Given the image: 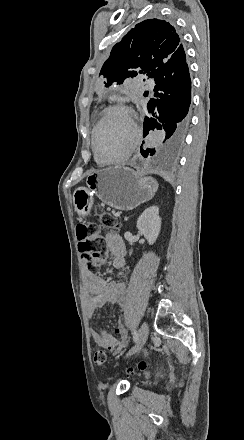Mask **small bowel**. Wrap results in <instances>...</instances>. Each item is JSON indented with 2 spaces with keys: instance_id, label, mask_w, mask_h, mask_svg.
<instances>
[{
  "instance_id": "1",
  "label": "small bowel",
  "mask_w": 244,
  "mask_h": 440,
  "mask_svg": "<svg viewBox=\"0 0 244 440\" xmlns=\"http://www.w3.org/2000/svg\"><path fill=\"white\" fill-rule=\"evenodd\" d=\"M106 240L112 258V265L118 270L117 280L107 281L95 273L88 271L84 273L87 314L89 317H92L97 309H103L109 305L125 306L126 304L125 244L121 236L115 232L109 233ZM103 263L104 261L101 264ZM115 333L118 338L105 330L90 328V336L96 345L119 355L128 345V335L121 323L116 327Z\"/></svg>"
}]
</instances>
